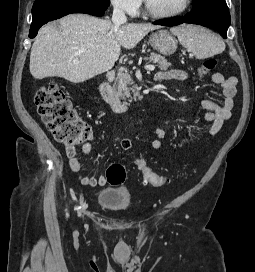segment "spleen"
<instances>
[{
    "mask_svg": "<svg viewBox=\"0 0 255 272\" xmlns=\"http://www.w3.org/2000/svg\"><path fill=\"white\" fill-rule=\"evenodd\" d=\"M180 44L191 50L197 59L220 54L225 50L223 40L209 30L195 25L183 24L171 29Z\"/></svg>",
    "mask_w": 255,
    "mask_h": 272,
    "instance_id": "3e777b00",
    "label": "spleen"
}]
</instances>
